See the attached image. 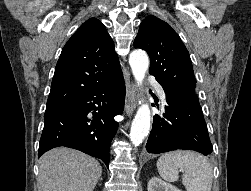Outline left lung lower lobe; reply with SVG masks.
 <instances>
[{"mask_svg":"<svg viewBox=\"0 0 251 191\" xmlns=\"http://www.w3.org/2000/svg\"><path fill=\"white\" fill-rule=\"evenodd\" d=\"M166 102L163 115L154 116L146 150L153 154L178 149L195 150L204 155L212 153L197 95H166Z\"/></svg>","mask_w":251,"mask_h":191,"instance_id":"obj_1","label":"left lung lower lobe"}]
</instances>
